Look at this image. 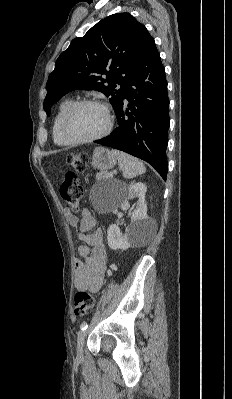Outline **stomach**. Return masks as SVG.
Segmentation results:
<instances>
[{
  "label": "stomach",
  "instance_id": "stomach-1",
  "mask_svg": "<svg viewBox=\"0 0 232 399\" xmlns=\"http://www.w3.org/2000/svg\"><path fill=\"white\" fill-rule=\"evenodd\" d=\"M116 156L106 148H95L92 156V166L97 170H111L116 164Z\"/></svg>",
  "mask_w": 232,
  "mask_h": 399
}]
</instances>
